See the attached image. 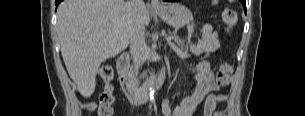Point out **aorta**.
<instances>
[{
  "instance_id": "aorta-1",
  "label": "aorta",
  "mask_w": 305,
  "mask_h": 116,
  "mask_svg": "<svg viewBox=\"0 0 305 116\" xmlns=\"http://www.w3.org/2000/svg\"><path fill=\"white\" fill-rule=\"evenodd\" d=\"M150 88H149V96H150V101H153L154 99V76L152 75L150 78L149 82Z\"/></svg>"
}]
</instances>
